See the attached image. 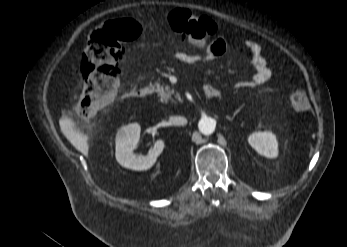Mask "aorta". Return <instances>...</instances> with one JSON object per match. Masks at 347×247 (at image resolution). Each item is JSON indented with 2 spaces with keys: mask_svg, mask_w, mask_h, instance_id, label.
<instances>
[{
  "mask_svg": "<svg viewBox=\"0 0 347 247\" xmlns=\"http://www.w3.org/2000/svg\"><path fill=\"white\" fill-rule=\"evenodd\" d=\"M216 121L210 117L202 118L199 122V129L202 134L210 135L215 131Z\"/></svg>",
  "mask_w": 347,
  "mask_h": 247,
  "instance_id": "obj_1",
  "label": "aorta"
}]
</instances>
